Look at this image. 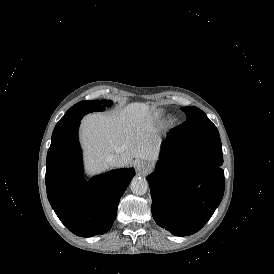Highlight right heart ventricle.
<instances>
[{
  "label": "right heart ventricle",
  "mask_w": 274,
  "mask_h": 274,
  "mask_svg": "<svg viewBox=\"0 0 274 274\" xmlns=\"http://www.w3.org/2000/svg\"><path fill=\"white\" fill-rule=\"evenodd\" d=\"M163 117V112L161 110H156L150 114L148 120L152 124H159L163 121Z\"/></svg>",
  "instance_id": "e07e8e85"
}]
</instances>
